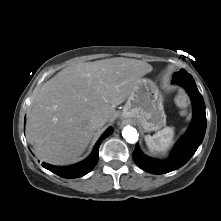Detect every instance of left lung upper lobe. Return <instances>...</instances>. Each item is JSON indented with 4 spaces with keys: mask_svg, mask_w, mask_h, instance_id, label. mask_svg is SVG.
<instances>
[{
    "mask_svg": "<svg viewBox=\"0 0 221 221\" xmlns=\"http://www.w3.org/2000/svg\"><path fill=\"white\" fill-rule=\"evenodd\" d=\"M187 72L186 71H180V72H178V73H175L174 75H173V77H175L176 75H178V74H186Z\"/></svg>",
    "mask_w": 221,
    "mask_h": 221,
    "instance_id": "left-lung-upper-lobe-1",
    "label": "left lung upper lobe"
}]
</instances>
